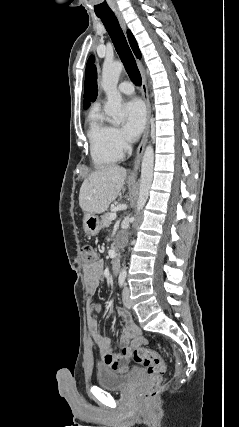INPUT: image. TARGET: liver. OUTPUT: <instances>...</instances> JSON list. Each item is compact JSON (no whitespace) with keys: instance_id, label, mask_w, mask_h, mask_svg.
Instances as JSON below:
<instances>
[{"instance_id":"obj_1","label":"liver","mask_w":239,"mask_h":427,"mask_svg":"<svg viewBox=\"0 0 239 427\" xmlns=\"http://www.w3.org/2000/svg\"><path fill=\"white\" fill-rule=\"evenodd\" d=\"M126 170L119 165H106L92 172L82 183L79 205L87 213L105 212L119 195Z\"/></svg>"}]
</instances>
